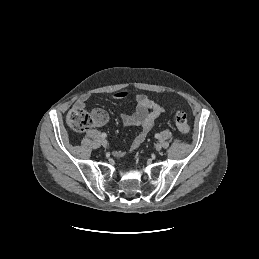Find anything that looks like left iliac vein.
<instances>
[{"label":"left iliac vein","mask_w":259,"mask_h":259,"mask_svg":"<svg viewBox=\"0 0 259 259\" xmlns=\"http://www.w3.org/2000/svg\"><path fill=\"white\" fill-rule=\"evenodd\" d=\"M155 149H156L157 151H160V150L162 149L161 144L157 143V144L155 145Z\"/></svg>","instance_id":"obj_1"}]
</instances>
